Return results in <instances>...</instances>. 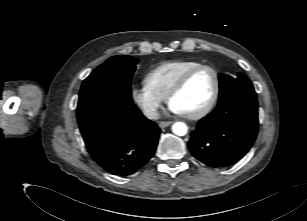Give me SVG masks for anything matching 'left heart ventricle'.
<instances>
[{
	"mask_svg": "<svg viewBox=\"0 0 307 221\" xmlns=\"http://www.w3.org/2000/svg\"><path fill=\"white\" fill-rule=\"evenodd\" d=\"M214 91V76L211 71L203 69L195 73L183 90L171 101L181 114H192L202 109L211 99Z\"/></svg>",
	"mask_w": 307,
	"mask_h": 221,
	"instance_id": "b2bd125f",
	"label": "left heart ventricle"
}]
</instances>
